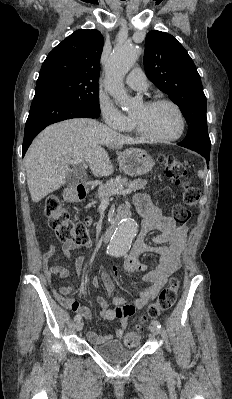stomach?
Instances as JSON below:
<instances>
[{"mask_svg":"<svg viewBox=\"0 0 232 399\" xmlns=\"http://www.w3.org/2000/svg\"><path fill=\"white\" fill-rule=\"evenodd\" d=\"M117 160L120 170L124 174H128V176L147 174L155 166V162L151 156L145 150H139V148H129V150L121 152Z\"/></svg>","mask_w":232,"mask_h":399,"instance_id":"1","label":"stomach"}]
</instances>
